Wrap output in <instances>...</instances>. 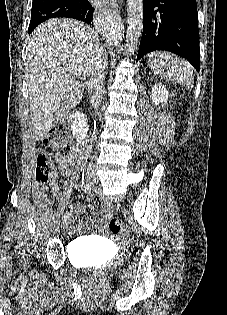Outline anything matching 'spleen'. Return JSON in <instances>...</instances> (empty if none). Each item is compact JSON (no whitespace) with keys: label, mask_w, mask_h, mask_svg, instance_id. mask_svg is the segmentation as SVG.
Here are the masks:
<instances>
[{"label":"spleen","mask_w":227,"mask_h":315,"mask_svg":"<svg viewBox=\"0 0 227 315\" xmlns=\"http://www.w3.org/2000/svg\"><path fill=\"white\" fill-rule=\"evenodd\" d=\"M151 69L162 78L193 87L192 66L170 53H153L148 60Z\"/></svg>","instance_id":"1"}]
</instances>
